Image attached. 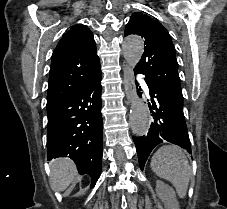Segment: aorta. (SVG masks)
Listing matches in <instances>:
<instances>
[{"label":"aorta","mask_w":227,"mask_h":209,"mask_svg":"<svg viewBox=\"0 0 227 209\" xmlns=\"http://www.w3.org/2000/svg\"><path fill=\"white\" fill-rule=\"evenodd\" d=\"M124 57L127 63L134 68L144 52V42L139 36H129L123 43ZM149 114L145 103L135 98L130 115V127L136 136L147 133L149 128Z\"/></svg>","instance_id":"1"}]
</instances>
